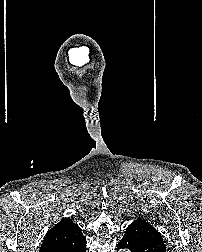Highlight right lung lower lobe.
Returning a JSON list of instances; mask_svg holds the SVG:
<instances>
[{
    "label": "right lung lower lobe",
    "mask_w": 202,
    "mask_h": 252,
    "mask_svg": "<svg viewBox=\"0 0 202 252\" xmlns=\"http://www.w3.org/2000/svg\"><path fill=\"white\" fill-rule=\"evenodd\" d=\"M85 249H86V242H85L83 248L80 250V252H85Z\"/></svg>",
    "instance_id": "1"
}]
</instances>
